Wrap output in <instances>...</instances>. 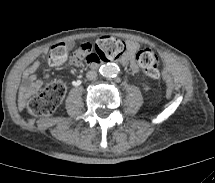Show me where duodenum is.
I'll return each instance as SVG.
<instances>
[{
    "instance_id": "duodenum-1",
    "label": "duodenum",
    "mask_w": 215,
    "mask_h": 183,
    "mask_svg": "<svg viewBox=\"0 0 215 183\" xmlns=\"http://www.w3.org/2000/svg\"><path fill=\"white\" fill-rule=\"evenodd\" d=\"M99 63H94V66H97Z\"/></svg>"
}]
</instances>
